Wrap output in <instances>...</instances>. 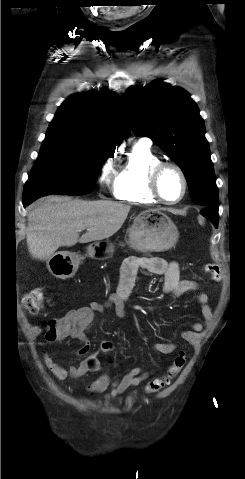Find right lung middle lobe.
Listing matches in <instances>:
<instances>
[{"label": "right lung middle lobe", "instance_id": "right-lung-middle-lobe-1", "mask_svg": "<svg viewBox=\"0 0 245 479\" xmlns=\"http://www.w3.org/2000/svg\"><path fill=\"white\" fill-rule=\"evenodd\" d=\"M113 149L47 134L25 184L23 199L48 194L83 195L91 192L99 171Z\"/></svg>", "mask_w": 245, "mask_h": 479}]
</instances>
